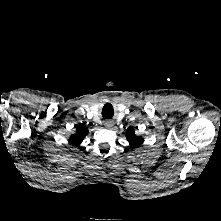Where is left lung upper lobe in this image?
I'll use <instances>...</instances> for the list:
<instances>
[{
	"instance_id": "5c2ea615",
	"label": "left lung upper lobe",
	"mask_w": 221,
	"mask_h": 221,
	"mask_svg": "<svg viewBox=\"0 0 221 221\" xmlns=\"http://www.w3.org/2000/svg\"><path fill=\"white\" fill-rule=\"evenodd\" d=\"M125 135L132 148L138 147L143 143V139L139 136H136L135 130L133 128L128 129Z\"/></svg>"
}]
</instances>
